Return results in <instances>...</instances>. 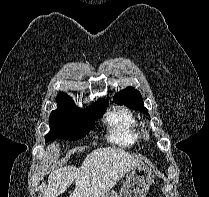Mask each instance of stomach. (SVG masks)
I'll return each instance as SVG.
<instances>
[{
  "label": "stomach",
  "mask_w": 209,
  "mask_h": 197,
  "mask_svg": "<svg viewBox=\"0 0 209 197\" xmlns=\"http://www.w3.org/2000/svg\"><path fill=\"white\" fill-rule=\"evenodd\" d=\"M153 181L154 173L152 169L142 164L131 169L118 193L111 190L103 197H146Z\"/></svg>",
  "instance_id": "stomach-1"
}]
</instances>
